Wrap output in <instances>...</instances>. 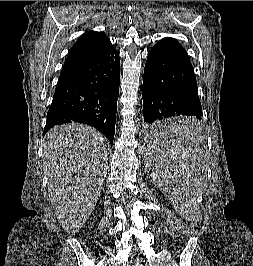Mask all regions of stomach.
<instances>
[{"label": "stomach", "mask_w": 253, "mask_h": 266, "mask_svg": "<svg viewBox=\"0 0 253 266\" xmlns=\"http://www.w3.org/2000/svg\"><path fill=\"white\" fill-rule=\"evenodd\" d=\"M202 139V137L199 135V140H201Z\"/></svg>", "instance_id": "stomach-1"}]
</instances>
